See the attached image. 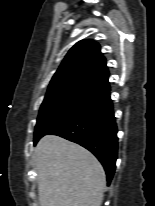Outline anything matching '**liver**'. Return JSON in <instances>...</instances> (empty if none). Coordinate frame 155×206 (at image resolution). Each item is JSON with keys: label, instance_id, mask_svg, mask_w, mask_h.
<instances>
[{"label": "liver", "instance_id": "1", "mask_svg": "<svg viewBox=\"0 0 155 206\" xmlns=\"http://www.w3.org/2000/svg\"><path fill=\"white\" fill-rule=\"evenodd\" d=\"M40 206H101L105 171L78 144L47 135L35 148Z\"/></svg>", "mask_w": 155, "mask_h": 206}]
</instances>
